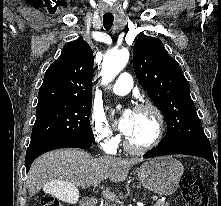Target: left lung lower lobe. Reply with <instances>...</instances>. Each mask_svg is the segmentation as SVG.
<instances>
[{
  "label": "left lung lower lobe",
  "instance_id": "1",
  "mask_svg": "<svg viewBox=\"0 0 221 206\" xmlns=\"http://www.w3.org/2000/svg\"><path fill=\"white\" fill-rule=\"evenodd\" d=\"M169 154H186L203 157L207 159L214 167H216L210 144L189 143L175 145H158L157 147L145 153L143 157L148 158Z\"/></svg>",
  "mask_w": 221,
  "mask_h": 206
}]
</instances>
